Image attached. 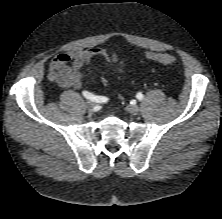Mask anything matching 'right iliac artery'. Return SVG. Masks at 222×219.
Listing matches in <instances>:
<instances>
[{
    "label": "right iliac artery",
    "instance_id": "obj_1",
    "mask_svg": "<svg viewBox=\"0 0 222 219\" xmlns=\"http://www.w3.org/2000/svg\"><path fill=\"white\" fill-rule=\"evenodd\" d=\"M83 96L91 101H95V102H105L107 101L106 97L103 96H96L88 91H83L82 92Z\"/></svg>",
    "mask_w": 222,
    "mask_h": 219
}]
</instances>
